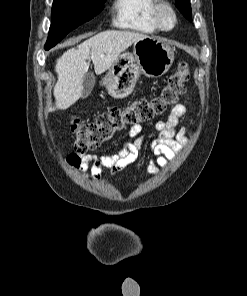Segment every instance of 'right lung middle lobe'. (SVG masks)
<instances>
[{
	"mask_svg": "<svg viewBox=\"0 0 247 296\" xmlns=\"http://www.w3.org/2000/svg\"><path fill=\"white\" fill-rule=\"evenodd\" d=\"M106 0H53L51 26L45 49L49 50L71 30L93 19Z\"/></svg>",
	"mask_w": 247,
	"mask_h": 296,
	"instance_id": "right-lung-middle-lobe-1",
	"label": "right lung middle lobe"
}]
</instances>
